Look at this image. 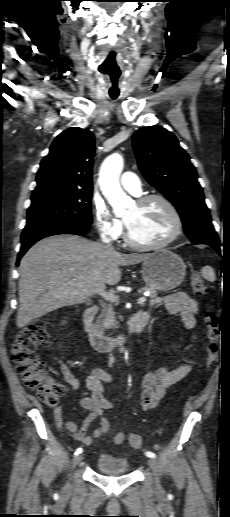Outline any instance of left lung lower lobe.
Here are the masks:
<instances>
[{
	"label": "left lung lower lobe",
	"mask_w": 230,
	"mask_h": 517,
	"mask_svg": "<svg viewBox=\"0 0 230 517\" xmlns=\"http://www.w3.org/2000/svg\"><path fill=\"white\" fill-rule=\"evenodd\" d=\"M200 244H207L214 248L218 254H220V248H219V240L218 241H206Z\"/></svg>",
	"instance_id": "0a47b994"
}]
</instances>
